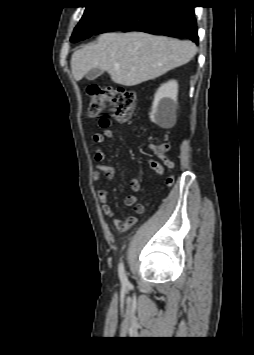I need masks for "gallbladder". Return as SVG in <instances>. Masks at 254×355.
I'll list each match as a JSON object with an SVG mask.
<instances>
[{
    "label": "gallbladder",
    "instance_id": "bac80fb5",
    "mask_svg": "<svg viewBox=\"0 0 254 355\" xmlns=\"http://www.w3.org/2000/svg\"><path fill=\"white\" fill-rule=\"evenodd\" d=\"M102 73H103L102 69L93 68L86 74V78L89 81H92V80H95L96 78H98Z\"/></svg>",
    "mask_w": 254,
    "mask_h": 355
}]
</instances>
